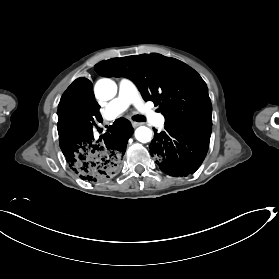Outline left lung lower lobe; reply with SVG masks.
Listing matches in <instances>:
<instances>
[{
	"label": "left lung lower lobe",
	"instance_id": "1",
	"mask_svg": "<svg viewBox=\"0 0 279 279\" xmlns=\"http://www.w3.org/2000/svg\"><path fill=\"white\" fill-rule=\"evenodd\" d=\"M211 128L186 129L165 125L150 144V154L160 169L171 176H187L202 164L208 150Z\"/></svg>",
	"mask_w": 279,
	"mask_h": 279
}]
</instances>
